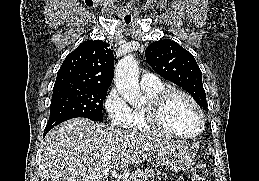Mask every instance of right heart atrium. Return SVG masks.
<instances>
[{
  "label": "right heart atrium",
  "instance_id": "right-heart-atrium-1",
  "mask_svg": "<svg viewBox=\"0 0 259 181\" xmlns=\"http://www.w3.org/2000/svg\"><path fill=\"white\" fill-rule=\"evenodd\" d=\"M103 108L112 126L116 128H127L131 118V108L117 89H111L106 95Z\"/></svg>",
  "mask_w": 259,
  "mask_h": 181
}]
</instances>
